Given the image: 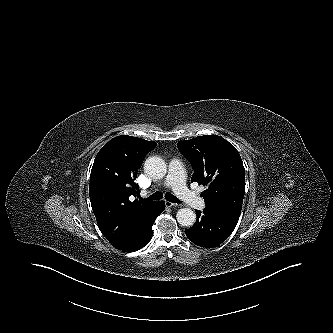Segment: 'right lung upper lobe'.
<instances>
[{
	"mask_svg": "<svg viewBox=\"0 0 333 333\" xmlns=\"http://www.w3.org/2000/svg\"><path fill=\"white\" fill-rule=\"evenodd\" d=\"M154 141L121 135L98 152L90 175L91 206L102 234L117 249L128 246L148 222L158 202L134 200L137 171ZM130 197V199H129Z\"/></svg>",
	"mask_w": 333,
	"mask_h": 333,
	"instance_id": "right-lung-upper-lobe-1",
	"label": "right lung upper lobe"
}]
</instances>
